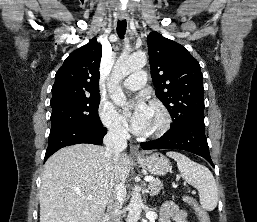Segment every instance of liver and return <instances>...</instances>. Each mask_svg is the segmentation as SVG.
<instances>
[{
    "instance_id": "obj_1",
    "label": "liver",
    "mask_w": 257,
    "mask_h": 222,
    "mask_svg": "<svg viewBox=\"0 0 257 222\" xmlns=\"http://www.w3.org/2000/svg\"><path fill=\"white\" fill-rule=\"evenodd\" d=\"M129 171L126 154L112 165L101 146L76 144L60 149L44 166L40 222H99L117 183H125Z\"/></svg>"
}]
</instances>
